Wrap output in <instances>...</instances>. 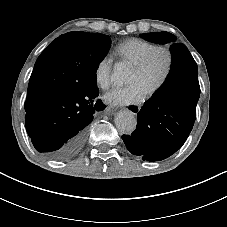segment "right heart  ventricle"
<instances>
[{"label":"right heart ventricle","mask_w":227,"mask_h":227,"mask_svg":"<svg viewBox=\"0 0 227 227\" xmlns=\"http://www.w3.org/2000/svg\"><path fill=\"white\" fill-rule=\"evenodd\" d=\"M155 45L140 38H129L116 47V54L121 62L135 66Z\"/></svg>","instance_id":"e07e8e85"}]
</instances>
